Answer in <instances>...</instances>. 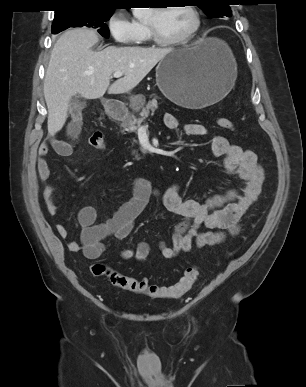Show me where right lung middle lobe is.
Masks as SVG:
<instances>
[{
	"label": "right lung middle lobe",
	"mask_w": 306,
	"mask_h": 387,
	"mask_svg": "<svg viewBox=\"0 0 306 387\" xmlns=\"http://www.w3.org/2000/svg\"><path fill=\"white\" fill-rule=\"evenodd\" d=\"M113 9L74 8L55 14L52 34H57L69 27H92L105 38L109 37L106 21L113 14Z\"/></svg>",
	"instance_id": "dd1d6c3e"
}]
</instances>
